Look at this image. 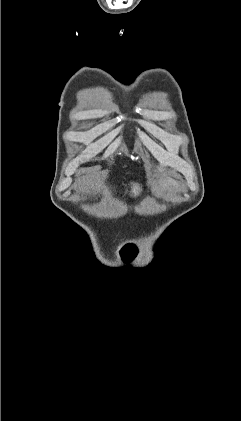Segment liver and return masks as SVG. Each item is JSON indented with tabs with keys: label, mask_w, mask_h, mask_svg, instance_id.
Listing matches in <instances>:
<instances>
[{
	"label": "liver",
	"mask_w": 241,
	"mask_h": 421,
	"mask_svg": "<svg viewBox=\"0 0 241 421\" xmlns=\"http://www.w3.org/2000/svg\"><path fill=\"white\" fill-rule=\"evenodd\" d=\"M140 192H141L140 185L137 183H132V189H131L132 195L137 196L139 195ZM107 193H108V189L104 187L103 194L106 195Z\"/></svg>",
	"instance_id": "obj_1"
}]
</instances>
